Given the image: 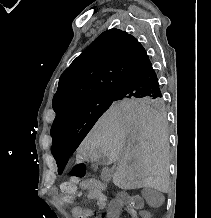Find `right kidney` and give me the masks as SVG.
<instances>
[{"label":"right kidney","instance_id":"1","mask_svg":"<svg viewBox=\"0 0 211 218\" xmlns=\"http://www.w3.org/2000/svg\"><path fill=\"white\" fill-rule=\"evenodd\" d=\"M116 198H118V201H112V206H108V217L139 218V215L131 214H137L140 211L138 202L143 201L142 197H135V193H116Z\"/></svg>","mask_w":211,"mask_h":218}]
</instances>
